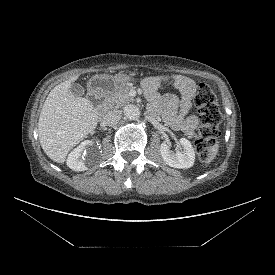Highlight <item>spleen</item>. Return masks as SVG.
<instances>
[{
    "instance_id": "3e777b00",
    "label": "spleen",
    "mask_w": 275,
    "mask_h": 275,
    "mask_svg": "<svg viewBox=\"0 0 275 275\" xmlns=\"http://www.w3.org/2000/svg\"><path fill=\"white\" fill-rule=\"evenodd\" d=\"M218 147H219V145H218V143H216V144L210 149L209 155H208V157H207L206 160H205V164H206V165L210 164V163L214 160V158L216 157L217 152H218Z\"/></svg>"
}]
</instances>
